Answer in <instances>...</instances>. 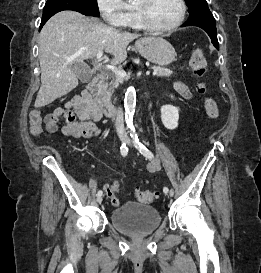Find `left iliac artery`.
<instances>
[{
	"instance_id": "1",
	"label": "left iliac artery",
	"mask_w": 261,
	"mask_h": 273,
	"mask_svg": "<svg viewBox=\"0 0 261 273\" xmlns=\"http://www.w3.org/2000/svg\"><path fill=\"white\" fill-rule=\"evenodd\" d=\"M131 137L133 139L135 147L140 151V153L148 159H153V153L139 141L135 129H132ZM168 191L169 189L167 187L163 188L164 193H168Z\"/></svg>"
}]
</instances>
